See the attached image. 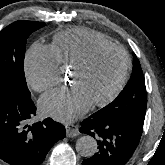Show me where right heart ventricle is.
Segmentation results:
<instances>
[{
    "mask_svg": "<svg viewBox=\"0 0 165 165\" xmlns=\"http://www.w3.org/2000/svg\"><path fill=\"white\" fill-rule=\"evenodd\" d=\"M109 43L112 42L96 31L75 27L56 34L51 47L59 63L72 68L94 46Z\"/></svg>",
    "mask_w": 165,
    "mask_h": 165,
    "instance_id": "right-heart-ventricle-1",
    "label": "right heart ventricle"
}]
</instances>
